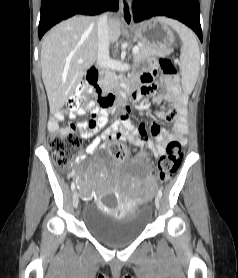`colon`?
I'll list each match as a JSON object with an SVG mask.
<instances>
[{"mask_svg":"<svg viewBox=\"0 0 238 278\" xmlns=\"http://www.w3.org/2000/svg\"><path fill=\"white\" fill-rule=\"evenodd\" d=\"M163 76L168 80H175L177 71L174 63L168 57L160 60ZM92 89L88 82L81 83L75 94L68 100V107L75 111L93 112L95 104L92 99ZM81 139L73 130H51L49 147L54 163L59 168H68L73 163V155L81 147ZM110 153L119 159L128 155V148L121 143H113L109 147ZM183 159L182 145L171 141L157 164V173L162 181L168 180L178 169Z\"/></svg>","mask_w":238,"mask_h":278,"instance_id":"obj_1","label":"colon"}]
</instances>
